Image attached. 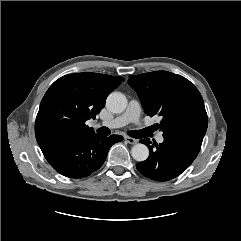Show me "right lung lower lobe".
I'll list each match as a JSON object with an SVG mask.
<instances>
[{"label":"right lung lower lobe","mask_w":241,"mask_h":241,"mask_svg":"<svg viewBox=\"0 0 241 241\" xmlns=\"http://www.w3.org/2000/svg\"><path fill=\"white\" fill-rule=\"evenodd\" d=\"M123 137H103L92 134L60 140L41 148L50 165L60 174L70 178H83L99 169L110 147Z\"/></svg>","instance_id":"right-lung-lower-lobe-1"}]
</instances>
